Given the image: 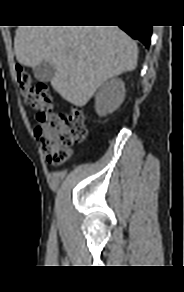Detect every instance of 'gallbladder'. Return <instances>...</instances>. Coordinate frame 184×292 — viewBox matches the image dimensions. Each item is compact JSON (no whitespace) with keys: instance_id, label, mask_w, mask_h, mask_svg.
Listing matches in <instances>:
<instances>
[{"instance_id":"obj_1","label":"gallbladder","mask_w":184,"mask_h":292,"mask_svg":"<svg viewBox=\"0 0 184 292\" xmlns=\"http://www.w3.org/2000/svg\"><path fill=\"white\" fill-rule=\"evenodd\" d=\"M55 73V67L49 62H42L33 68L34 77L40 82L50 81Z\"/></svg>"}]
</instances>
